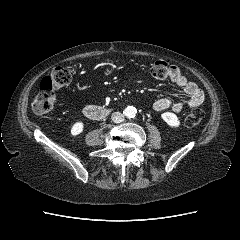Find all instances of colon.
<instances>
[{"label": "colon", "instance_id": "5ec220e1", "mask_svg": "<svg viewBox=\"0 0 240 240\" xmlns=\"http://www.w3.org/2000/svg\"><path fill=\"white\" fill-rule=\"evenodd\" d=\"M169 65L164 61H156L151 64L149 72L155 79L164 80L169 75ZM72 80L71 71L65 67H55L49 75L44 77L40 82L39 92L36 95L32 109L38 114L50 112L56 103V90L67 86ZM204 112L202 109H195L185 117V125L194 127L203 119Z\"/></svg>", "mask_w": 240, "mask_h": 240}]
</instances>
